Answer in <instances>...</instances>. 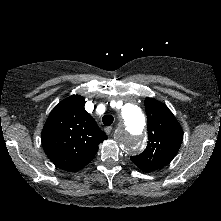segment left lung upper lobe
<instances>
[{"label": "left lung upper lobe", "mask_w": 221, "mask_h": 221, "mask_svg": "<svg viewBox=\"0 0 221 221\" xmlns=\"http://www.w3.org/2000/svg\"><path fill=\"white\" fill-rule=\"evenodd\" d=\"M148 144L132 162L145 172L157 170L172 161L182 140L183 130L168 107L154 98L145 99Z\"/></svg>", "instance_id": "left-lung-upper-lobe-1"}]
</instances>
